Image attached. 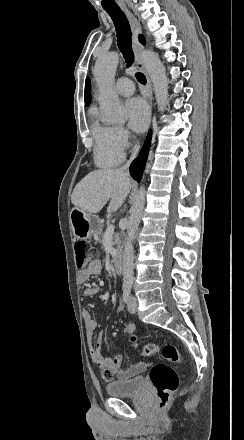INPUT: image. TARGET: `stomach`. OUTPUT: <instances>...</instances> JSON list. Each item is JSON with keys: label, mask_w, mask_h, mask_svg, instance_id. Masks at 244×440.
I'll list each match as a JSON object with an SVG mask.
<instances>
[{"label": "stomach", "mask_w": 244, "mask_h": 440, "mask_svg": "<svg viewBox=\"0 0 244 440\" xmlns=\"http://www.w3.org/2000/svg\"><path fill=\"white\" fill-rule=\"evenodd\" d=\"M69 220L73 236L77 240H88L93 234H101L102 232L99 218L87 214L80 208H72Z\"/></svg>", "instance_id": "obj_1"}]
</instances>
